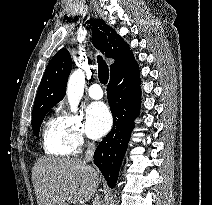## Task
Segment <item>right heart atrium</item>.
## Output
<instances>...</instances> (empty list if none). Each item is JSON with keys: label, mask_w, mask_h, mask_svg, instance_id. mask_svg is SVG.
<instances>
[{"label": "right heart atrium", "mask_w": 212, "mask_h": 205, "mask_svg": "<svg viewBox=\"0 0 212 205\" xmlns=\"http://www.w3.org/2000/svg\"><path fill=\"white\" fill-rule=\"evenodd\" d=\"M68 140L74 151H79L88 141L81 114L65 113L62 117Z\"/></svg>", "instance_id": "right-heart-atrium-1"}]
</instances>
